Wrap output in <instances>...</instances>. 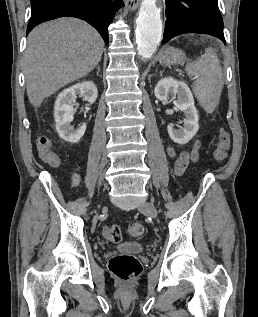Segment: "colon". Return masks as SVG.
I'll list each match as a JSON object with an SVG mask.
<instances>
[{
    "label": "colon",
    "mask_w": 258,
    "mask_h": 317,
    "mask_svg": "<svg viewBox=\"0 0 258 317\" xmlns=\"http://www.w3.org/2000/svg\"><path fill=\"white\" fill-rule=\"evenodd\" d=\"M231 145L230 134L226 129H221L218 135L217 144L213 150V158L216 162H222L226 159L228 150ZM40 158L43 162L55 166L59 163L60 158L55 152L41 151ZM126 233L133 239L143 237L145 230L140 223H130L126 227ZM105 237L111 242L117 243L122 239V230L118 225H110L104 229ZM108 268L111 274L123 282H130L136 279L141 271L140 261L132 255L116 254L108 262Z\"/></svg>",
    "instance_id": "5ec220e1"
}]
</instances>
